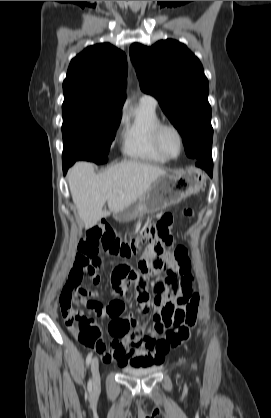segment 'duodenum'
<instances>
[{"label": "duodenum", "mask_w": 271, "mask_h": 418, "mask_svg": "<svg viewBox=\"0 0 271 418\" xmlns=\"http://www.w3.org/2000/svg\"><path fill=\"white\" fill-rule=\"evenodd\" d=\"M117 217H118V218H121V217H122V215H121V214H118V215H117Z\"/></svg>", "instance_id": "obj_1"}]
</instances>
